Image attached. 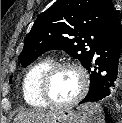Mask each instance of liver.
Wrapping results in <instances>:
<instances>
[{
	"instance_id": "1",
	"label": "liver",
	"mask_w": 122,
	"mask_h": 123,
	"mask_svg": "<svg viewBox=\"0 0 122 123\" xmlns=\"http://www.w3.org/2000/svg\"><path fill=\"white\" fill-rule=\"evenodd\" d=\"M56 112L43 110H29L20 112L14 120V123H49Z\"/></svg>"
}]
</instances>
